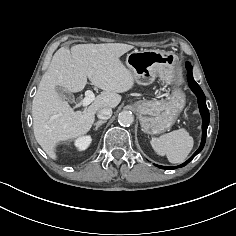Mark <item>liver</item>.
<instances>
[{"label":"liver","mask_w":236,"mask_h":236,"mask_svg":"<svg viewBox=\"0 0 236 236\" xmlns=\"http://www.w3.org/2000/svg\"><path fill=\"white\" fill-rule=\"evenodd\" d=\"M134 46L123 43L77 44L61 47L42 76L32 102L35 139L47 155L57 160L56 146L87 134L95 114L103 107L115 108L119 93L133 88L135 77L120 57ZM90 82L103 90L84 111H74L57 91H82Z\"/></svg>","instance_id":"liver-1"}]
</instances>
